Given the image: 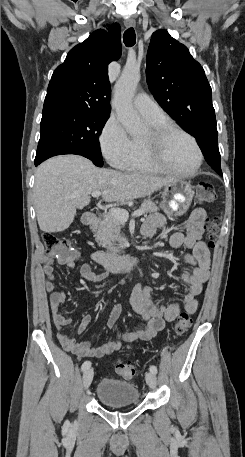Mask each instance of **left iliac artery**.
<instances>
[{
	"mask_svg": "<svg viewBox=\"0 0 245 457\" xmlns=\"http://www.w3.org/2000/svg\"><path fill=\"white\" fill-rule=\"evenodd\" d=\"M150 372L156 374L157 373V367L155 365L150 366L149 368Z\"/></svg>",
	"mask_w": 245,
	"mask_h": 457,
	"instance_id": "obj_1",
	"label": "left iliac artery"
}]
</instances>
